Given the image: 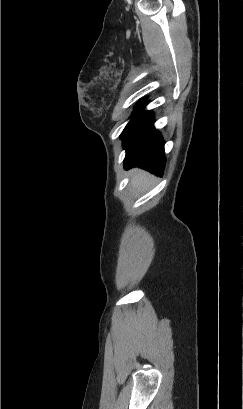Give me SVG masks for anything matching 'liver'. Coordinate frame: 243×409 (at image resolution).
Here are the masks:
<instances>
[{
    "mask_svg": "<svg viewBox=\"0 0 243 409\" xmlns=\"http://www.w3.org/2000/svg\"><path fill=\"white\" fill-rule=\"evenodd\" d=\"M152 177L139 169L131 171V185L135 188H145L150 183Z\"/></svg>",
    "mask_w": 243,
    "mask_h": 409,
    "instance_id": "liver-1",
    "label": "liver"
}]
</instances>
